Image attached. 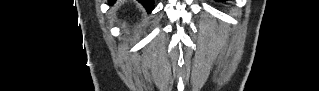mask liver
Listing matches in <instances>:
<instances>
[{
	"label": "liver",
	"mask_w": 319,
	"mask_h": 91,
	"mask_svg": "<svg viewBox=\"0 0 319 91\" xmlns=\"http://www.w3.org/2000/svg\"><path fill=\"white\" fill-rule=\"evenodd\" d=\"M122 2H124V1H122V0L116 1V5H120Z\"/></svg>",
	"instance_id": "1"
}]
</instances>
